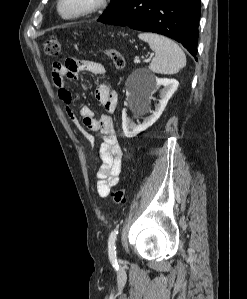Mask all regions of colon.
Returning a JSON list of instances; mask_svg holds the SVG:
<instances>
[{
	"label": "colon",
	"mask_w": 247,
	"mask_h": 299,
	"mask_svg": "<svg viewBox=\"0 0 247 299\" xmlns=\"http://www.w3.org/2000/svg\"><path fill=\"white\" fill-rule=\"evenodd\" d=\"M44 51L48 56L55 57L60 52V43L57 39H47L43 43ZM106 56L112 61L117 69H123L125 66V59L123 55L114 49L105 50ZM113 201L115 204H124L127 201V196L124 188H119L113 192Z\"/></svg>",
	"instance_id": "5ec220e1"
}]
</instances>
